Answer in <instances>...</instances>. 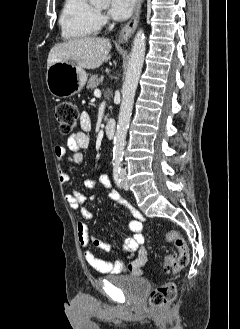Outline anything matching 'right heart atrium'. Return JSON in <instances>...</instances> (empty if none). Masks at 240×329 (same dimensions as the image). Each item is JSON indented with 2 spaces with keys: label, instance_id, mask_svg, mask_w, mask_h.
<instances>
[{
  "label": "right heart atrium",
  "instance_id": "right-heart-atrium-1",
  "mask_svg": "<svg viewBox=\"0 0 240 329\" xmlns=\"http://www.w3.org/2000/svg\"><path fill=\"white\" fill-rule=\"evenodd\" d=\"M98 18H99L100 24H104L106 22V19H105V17L103 15L99 14L98 15Z\"/></svg>",
  "mask_w": 240,
  "mask_h": 329
}]
</instances>
